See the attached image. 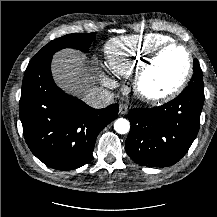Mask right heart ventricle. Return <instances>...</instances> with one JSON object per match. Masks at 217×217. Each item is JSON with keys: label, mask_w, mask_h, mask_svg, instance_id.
I'll use <instances>...</instances> for the list:
<instances>
[{"label": "right heart ventricle", "mask_w": 217, "mask_h": 217, "mask_svg": "<svg viewBox=\"0 0 217 217\" xmlns=\"http://www.w3.org/2000/svg\"><path fill=\"white\" fill-rule=\"evenodd\" d=\"M170 41V37L159 33L113 38L105 47L106 63L118 75L131 76L155 49Z\"/></svg>", "instance_id": "1"}]
</instances>
